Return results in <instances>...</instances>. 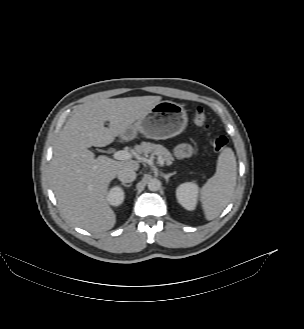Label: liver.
I'll list each match as a JSON object with an SVG mask.
<instances>
[{"mask_svg":"<svg viewBox=\"0 0 304 329\" xmlns=\"http://www.w3.org/2000/svg\"><path fill=\"white\" fill-rule=\"evenodd\" d=\"M160 100L161 96L94 100L64 125L54 146L50 180L62 213L76 226L92 233L113 228L116 216L107 200L109 184L121 169L139 168L134 160L95 158L88 148L111 144Z\"/></svg>","mask_w":304,"mask_h":329,"instance_id":"obj_1","label":"liver"}]
</instances>
